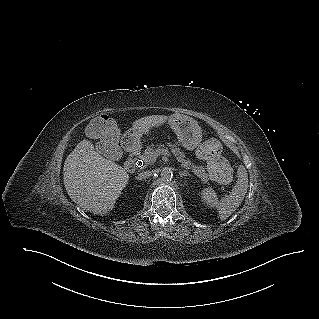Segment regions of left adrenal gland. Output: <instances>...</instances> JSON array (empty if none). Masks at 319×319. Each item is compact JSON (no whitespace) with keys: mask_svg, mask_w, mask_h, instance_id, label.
Returning <instances> with one entry per match:
<instances>
[{"mask_svg":"<svg viewBox=\"0 0 319 319\" xmlns=\"http://www.w3.org/2000/svg\"><path fill=\"white\" fill-rule=\"evenodd\" d=\"M179 175L181 178H183L184 176H190V174L186 171H179Z\"/></svg>","mask_w":319,"mask_h":319,"instance_id":"obj_1","label":"left adrenal gland"}]
</instances>
